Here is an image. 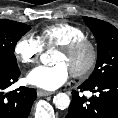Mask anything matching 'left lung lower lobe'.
<instances>
[{
  "label": "left lung lower lobe",
  "instance_id": "obj_1",
  "mask_svg": "<svg viewBox=\"0 0 118 118\" xmlns=\"http://www.w3.org/2000/svg\"><path fill=\"white\" fill-rule=\"evenodd\" d=\"M81 92L89 90L96 93L90 99L72 91V101L65 118H118V77L96 84L83 83Z\"/></svg>",
  "mask_w": 118,
  "mask_h": 118
}]
</instances>
